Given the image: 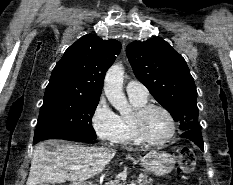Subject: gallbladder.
Wrapping results in <instances>:
<instances>
[{"label": "gallbladder", "instance_id": "obj_1", "mask_svg": "<svg viewBox=\"0 0 233 185\" xmlns=\"http://www.w3.org/2000/svg\"><path fill=\"white\" fill-rule=\"evenodd\" d=\"M39 185H48V184H45V183H40Z\"/></svg>", "mask_w": 233, "mask_h": 185}]
</instances>
